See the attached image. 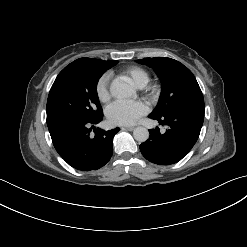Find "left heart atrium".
<instances>
[{
    "label": "left heart atrium",
    "mask_w": 247,
    "mask_h": 247,
    "mask_svg": "<svg viewBox=\"0 0 247 247\" xmlns=\"http://www.w3.org/2000/svg\"><path fill=\"white\" fill-rule=\"evenodd\" d=\"M148 112L143 101H117L107 111L108 119L117 125H131Z\"/></svg>",
    "instance_id": "obj_1"
}]
</instances>
